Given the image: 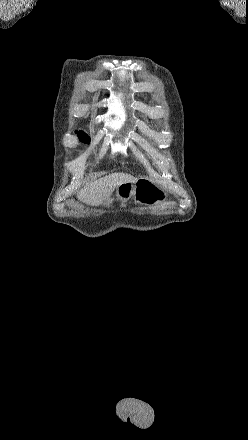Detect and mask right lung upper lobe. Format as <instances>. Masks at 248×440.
I'll return each instance as SVG.
<instances>
[{
  "label": "right lung upper lobe",
  "instance_id": "cb5924a9",
  "mask_svg": "<svg viewBox=\"0 0 248 440\" xmlns=\"http://www.w3.org/2000/svg\"><path fill=\"white\" fill-rule=\"evenodd\" d=\"M78 135H79V139H83V140L85 137H88L83 131L78 132Z\"/></svg>",
  "mask_w": 248,
  "mask_h": 440
}]
</instances>
